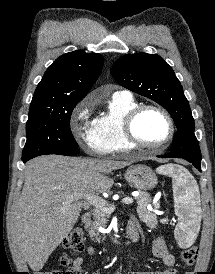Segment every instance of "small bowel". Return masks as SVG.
<instances>
[{
  "instance_id": "obj_1",
  "label": "small bowel",
  "mask_w": 215,
  "mask_h": 274,
  "mask_svg": "<svg viewBox=\"0 0 215 274\" xmlns=\"http://www.w3.org/2000/svg\"><path fill=\"white\" fill-rule=\"evenodd\" d=\"M130 227H134L137 229V224L132 222ZM152 250L154 255L159 258L163 264L166 266L165 270L158 271V272H130L129 274H176V258L175 256L169 251L166 242L163 237H156L152 243ZM86 253L90 256L95 255L96 249L93 246H88L86 248ZM84 262V258L82 256L76 257L75 259L71 260V268L69 271L71 274H82L84 272L82 268V264ZM92 274H101L100 272H93ZM185 274H192L191 272H186Z\"/></svg>"
}]
</instances>
